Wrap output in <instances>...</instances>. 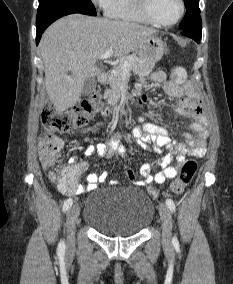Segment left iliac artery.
I'll return each instance as SVG.
<instances>
[{"label": "left iliac artery", "mask_w": 233, "mask_h": 284, "mask_svg": "<svg viewBox=\"0 0 233 284\" xmlns=\"http://www.w3.org/2000/svg\"><path fill=\"white\" fill-rule=\"evenodd\" d=\"M166 205L170 209L171 212H173V213L175 212L176 206H175V203L172 199H170V198L166 199ZM173 243L175 245L178 244V241L175 237L173 238Z\"/></svg>", "instance_id": "44dca946"}]
</instances>
